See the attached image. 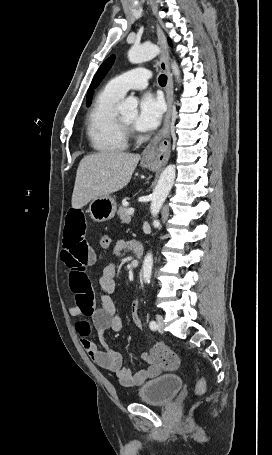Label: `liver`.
<instances>
[{"label":"liver","instance_id":"liver-1","mask_svg":"<svg viewBox=\"0 0 272 455\" xmlns=\"http://www.w3.org/2000/svg\"><path fill=\"white\" fill-rule=\"evenodd\" d=\"M140 160L138 154L100 152L85 156L79 163L72 207L80 209L90 201L124 188Z\"/></svg>","mask_w":272,"mask_h":455}]
</instances>
